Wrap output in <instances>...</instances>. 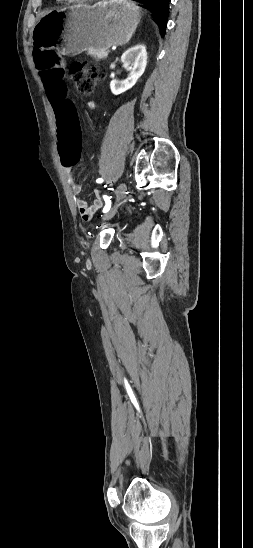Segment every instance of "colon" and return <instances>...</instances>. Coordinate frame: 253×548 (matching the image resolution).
Masks as SVG:
<instances>
[{"mask_svg": "<svg viewBox=\"0 0 253 548\" xmlns=\"http://www.w3.org/2000/svg\"><path fill=\"white\" fill-rule=\"evenodd\" d=\"M36 73L41 74V82L44 83L42 93L47 96L48 105H53V114L61 143L58 152L64 166H73L80 159L78 137L82 134L78 117L79 105L73 98V90L67 78L66 60H53L58 58L54 51L49 49H36L34 53ZM71 75L76 91L81 95L90 94L95 85L103 77V72L96 66L75 62L71 66Z\"/></svg>", "mask_w": 253, "mask_h": 548, "instance_id": "obj_1", "label": "colon"}]
</instances>
